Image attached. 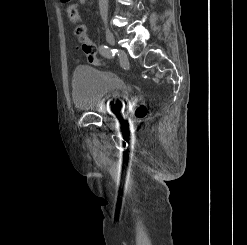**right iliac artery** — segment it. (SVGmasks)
I'll return each instance as SVG.
<instances>
[{
  "instance_id": "1",
  "label": "right iliac artery",
  "mask_w": 247,
  "mask_h": 245,
  "mask_svg": "<svg viewBox=\"0 0 247 245\" xmlns=\"http://www.w3.org/2000/svg\"><path fill=\"white\" fill-rule=\"evenodd\" d=\"M99 52L102 56L106 58H112L114 56L113 50H111L108 46L106 45H101L99 47Z\"/></svg>"
}]
</instances>
